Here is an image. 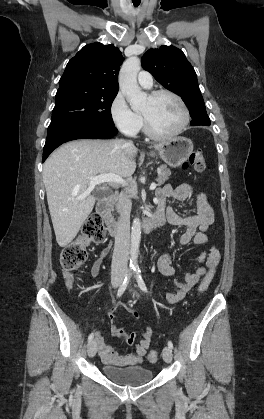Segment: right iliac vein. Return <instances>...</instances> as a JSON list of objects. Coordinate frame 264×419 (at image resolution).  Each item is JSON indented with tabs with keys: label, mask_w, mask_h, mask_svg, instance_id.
I'll return each mask as SVG.
<instances>
[{
	"label": "right iliac vein",
	"mask_w": 264,
	"mask_h": 419,
	"mask_svg": "<svg viewBox=\"0 0 264 419\" xmlns=\"http://www.w3.org/2000/svg\"><path fill=\"white\" fill-rule=\"evenodd\" d=\"M122 276L121 275H117L113 278L112 280V285L113 287H118L122 281ZM87 352L89 357H94L96 352H97V344L95 340H92L89 342L88 347H87Z\"/></svg>",
	"instance_id": "63e3f726"
}]
</instances>
